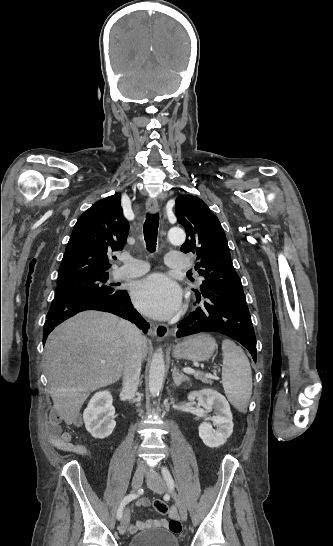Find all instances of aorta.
I'll list each match as a JSON object with an SVG mask.
<instances>
[{
    "label": "aorta",
    "instance_id": "762f6f07",
    "mask_svg": "<svg viewBox=\"0 0 333 546\" xmlns=\"http://www.w3.org/2000/svg\"><path fill=\"white\" fill-rule=\"evenodd\" d=\"M168 241L181 245L185 241V232L180 228H171L167 233ZM165 376V362L163 352L160 349L154 354L149 370V390L152 396H157L162 387Z\"/></svg>",
    "mask_w": 333,
    "mask_h": 546
}]
</instances>
